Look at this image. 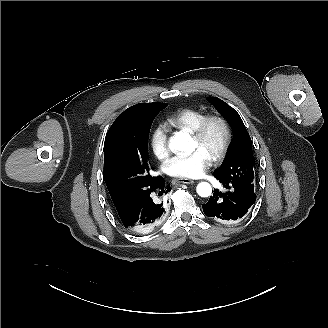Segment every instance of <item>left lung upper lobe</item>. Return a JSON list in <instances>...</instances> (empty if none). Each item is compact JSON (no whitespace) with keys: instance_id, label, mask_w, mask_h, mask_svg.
Returning <instances> with one entry per match:
<instances>
[{"instance_id":"1","label":"left lung upper lobe","mask_w":328,"mask_h":328,"mask_svg":"<svg viewBox=\"0 0 328 328\" xmlns=\"http://www.w3.org/2000/svg\"><path fill=\"white\" fill-rule=\"evenodd\" d=\"M208 101L226 118L235 133L227 156L214 175L226 182H239L254 187L256 178L252 142L240 115L217 97H208Z\"/></svg>"}]
</instances>
